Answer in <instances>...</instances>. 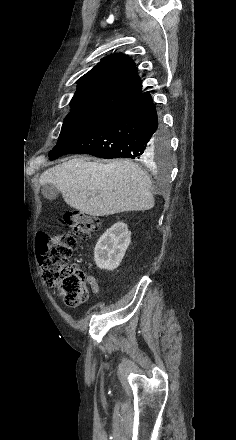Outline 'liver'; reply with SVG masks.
Segmentation results:
<instances>
[{
    "label": "liver",
    "instance_id": "1",
    "mask_svg": "<svg viewBox=\"0 0 236 440\" xmlns=\"http://www.w3.org/2000/svg\"><path fill=\"white\" fill-rule=\"evenodd\" d=\"M39 183L54 185L70 207L91 216L154 207L150 178L129 160L103 164L74 158L44 171Z\"/></svg>",
    "mask_w": 236,
    "mask_h": 440
}]
</instances>
